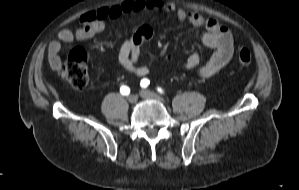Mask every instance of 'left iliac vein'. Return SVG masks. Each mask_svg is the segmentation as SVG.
Here are the masks:
<instances>
[{"label":"left iliac vein","instance_id":"1","mask_svg":"<svg viewBox=\"0 0 299 190\" xmlns=\"http://www.w3.org/2000/svg\"><path fill=\"white\" fill-rule=\"evenodd\" d=\"M140 95H141V97H143L145 99H154V100L164 103L163 98H161L159 95H157L156 93H154L150 90H142L140 92Z\"/></svg>","mask_w":299,"mask_h":190}]
</instances>
